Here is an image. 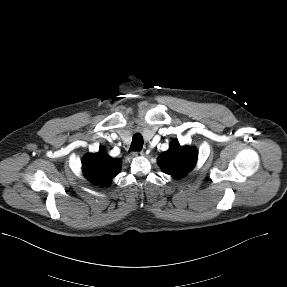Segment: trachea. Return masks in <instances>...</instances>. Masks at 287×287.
<instances>
[{
    "label": "trachea",
    "instance_id": "1",
    "mask_svg": "<svg viewBox=\"0 0 287 287\" xmlns=\"http://www.w3.org/2000/svg\"><path fill=\"white\" fill-rule=\"evenodd\" d=\"M143 137L140 133H136L133 137H132V143H131V147L130 150L131 151H141L142 147H143Z\"/></svg>",
    "mask_w": 287,
    "mask_h": 287
}]
</instances>
